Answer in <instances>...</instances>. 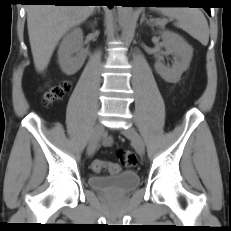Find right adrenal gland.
Here are the masks:
<instances>
[{
	"label": "right adrenal gland",
	"mask_w": 231,
	"mask_h": 231,
	"mask_svg": "<svg viewBox=\"0 0 231 231\" xmlns=\"http://www.w3.org/2000/svg\"><path fill=\"white\" fill-rule=\"evenodd\" d=\"M96 10H97L98 12H100V8H99V7H96V9L93 11L92 15L96 12Z\"/></svg>",
	"instance_id": "1"
}]
</instances>
